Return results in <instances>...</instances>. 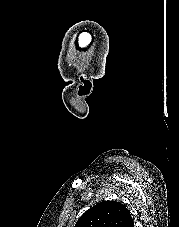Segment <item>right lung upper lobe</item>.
<instances>
[{
    "label": "right lung upper lobe",
    "instance_id": "1",
    "mask_svg": "<svg viewBox=\"0 0 179 227\" xmlns=\"http://www.w3.org/2000/svg\"><path fill=\"white\" fill-rule=\"evenodd\" d=\"M74 227H134V223L123 204L102 201L87 210Z\"/></svg>",
    "mask_w": 179,
    "mask_h": 227
}]
</instances>
